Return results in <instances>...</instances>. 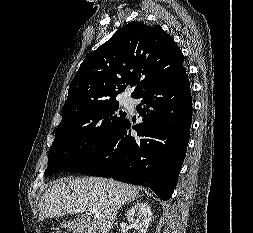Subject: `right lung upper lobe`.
<instances>
[{
    "mask_svg": "<svg viewBox=\"0 0 253 233\" xmlns=\"http://www.w3.org/2000/svg\"><path fill=\"white\" fill-rule=\"evenodd\" d=\"M183 62L180 48L159 25L130 22L84 59L70 84L63 117L115 99L128 85L136 86L131 94L135 98L152 82L183 67Z\"/></svg>",
    "mask_w": 253,
    "mask_h": 233,
    "instance_id": "obj_1",
    "label": "right lung upper lobe"
}]
</instances>
